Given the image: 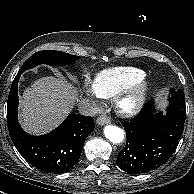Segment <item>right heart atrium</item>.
I'll use <instances>...</instances> for the list:
<instances>
[{
    "label": "right heart atrium",
    "instance_id": "d8ad5b80",
    "mask_svg": "<svg viewBox=\"0 0 194 194\" xmlns=\"http://www.w3.org/2000/svg\"><path fill=\"white\" fill-rule=\"evenodd\" d=\"M82 91L88 97H91V98H94V99H96L98 97V94L95 91L93 84L88 79H85L83 81Z\"/></svg>",
    "mask_w": 194,
    "mask_h": 194
}]
</instances>
